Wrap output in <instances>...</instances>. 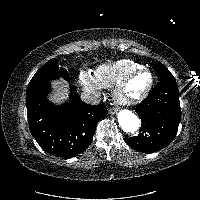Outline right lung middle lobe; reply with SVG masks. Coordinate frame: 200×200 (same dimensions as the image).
<instances>
[{
  "mask_svg": "<svg viewBox=\"0 0 200 200\" xmlns=\"http://www.w3.org/2000/svg\"><path fill=\"white\" fill-rule=\"evenodd\" d=\"M62 77L65 80L69 79V74L67 70L59 67L58 62L55 58L49 60L45 65H43L32 77L29 82V86L36 83L49 82L56 78Z\"/></svg>",
  "mask_w": 200,
  "mask_h": 200,
  "instance_id": "1",
  "label": "right lung middle lobe"
}]
</instances>
